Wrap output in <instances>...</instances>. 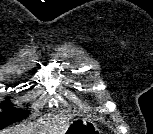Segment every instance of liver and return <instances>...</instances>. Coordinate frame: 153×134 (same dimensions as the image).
I'll return each mask as SVG.
<instances>
[{"mask_svg": "<svg viewBox=\"0 0 153 134\" xmlns=\"http://www.w3.org/2000/svg\"><path fill=\"white\" fill-rule=\"evenodd\" d=\"M72 116H69L68 118L66 116H63L61 119V122L58 126L50 127L47 129L45 126H43V121L39 120L37 123L29 124L27 126H24L22 128H16L14 130H3L0 132V134H45L48 132V134H63L68 126V120Z\"/></svg>", "mask_w": 153, "mask_h": 134, "instance_id": "obj_1", "label": "liver"}]
</instances>
